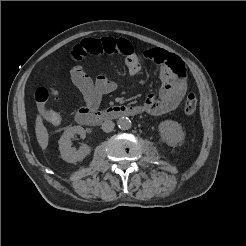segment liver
Masks as SVG:
<instances>
[{"label": "liver", "mask_w": 246, "mask_h": 246, "mask_svg": "<svg viewBox=\"0 0 246 246\" xmlns=\"http://www.w3.org/2000/svg\"><path fill=\"white\" fill-rule=\"evenodd\" d=\"M35 133L39 146L42 150H45L49 143V134L47 128L43 124V119L40 115H37L35 122Z\"/></svg>", "instance_id": "1"}]
</instances>
